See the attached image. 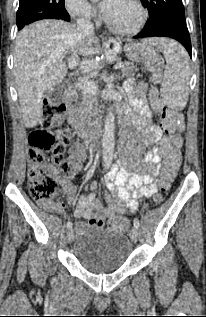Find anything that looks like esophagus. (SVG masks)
I'll return each instance as SVG.
<instances>
[{"instance_id":"obj_1","label":"esophagus","mask_w":206,"mask_h":317,"mask_svg":"<svg viewBox=\"0 0 206 317\" xmlns=\"http://www.w3.org/2000/svg\"><path fill=\"white\" fill-rule=\"evenodd\" d=\"M109 40H113V38H109Z\"/></svg>"}]
</instances>
